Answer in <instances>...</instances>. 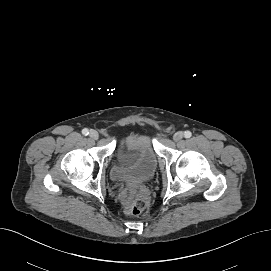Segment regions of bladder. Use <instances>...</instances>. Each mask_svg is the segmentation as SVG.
Returning a JSON list of instances; mask_svg holds the SVG:
<instances>
[{
    "label": "bladder",
    "mask_w": 271,
    "mask_h": 271,
    "mask_svg": "<svg viewBox=\"0 0 271 271\" xmlns=\"http://www.w3.org/2000/svg\"><path fill=\"white\" fill-rule=\"evenodd\" d=\"M126 146L136 155L123 166L116 165L118 181L129 191H134L139 185L147 182L157 168V154L151 138L145 132H133L116 142V155L121 156L122 148Z\"/></svg>",
    "instance_id": "obj_1"
}]
</instances>
